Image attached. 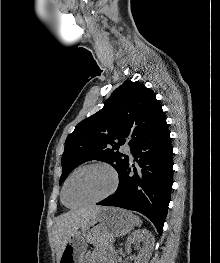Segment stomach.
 Masks as SVG:
<instances>
[{
    "label": "stomach",
    "mask_w": 220,
    "mask_h": 263,
    "mask_svg": "<svg viewBox=\"0 0 220 263\" xmlns=\"http://www.w3.org/2000/svg\"><path fill=\"white\" fill-rule=\"evenodd\" d=\"M134 215L124 209L103 207L67 241L58 263H83L88 242L110 248L114 237L128 234L135 226Z\"/></svg>",
    "instance_id": "stomach-1"
}]
</instances>
